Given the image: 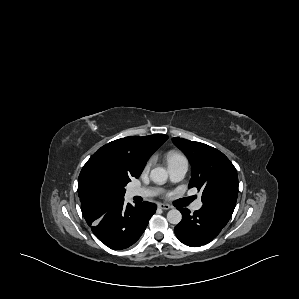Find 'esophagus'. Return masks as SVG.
I'll return each mask as SVG.
<instances>
[{
	"label": "esophagus",
	"instance_id": "esophagus-1",
	"mask_svg": "<svg viewBox=\"0 0 299 299\" xmlns=\"http://www.w3.org/2000/svg\"><path fill=\"white\" fill-rule=\"evenodd\" d=\"M158 207L163 210L171 209V206H169L168 204H163V203L158 204Z\"/></svg>",
	"mask_w": 299,
	"mask_h": 299
}]
</instances>
